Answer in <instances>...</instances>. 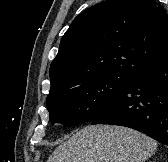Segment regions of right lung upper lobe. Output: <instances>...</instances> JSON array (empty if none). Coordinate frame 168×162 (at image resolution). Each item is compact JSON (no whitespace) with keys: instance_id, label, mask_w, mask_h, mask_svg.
I'll use <instances>...</instances> for the list:
<instances>
[{"instance_id":"1","label":"right lung upper lobe","mask_w":168,"mask_h":162,"mask_svg":"<svg viewBox=\"0 0 168 162\" xmlns=\"http://www.w3.org/2000/svg\"><path fill=\"white\" fill-rule=\"evenodd\" d=\"M168 59V15L154 0H107L79 14L50 66V91L99 75L129 76Z\"/></svg>"}]
</instances>
